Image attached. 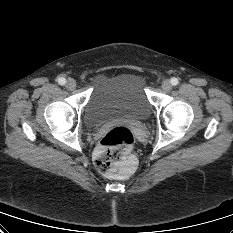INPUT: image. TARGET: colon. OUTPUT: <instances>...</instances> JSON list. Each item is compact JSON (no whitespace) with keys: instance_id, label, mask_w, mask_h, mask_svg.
<instances>
[{"instance_id":"obj_1","label":"colon","mask_w":233,"mask_h":233,"mask_svg":"<svg viewBox=\"0 0 233 233\" xmlns=\"http://www.w3.org/2000/svg\"><path fill=\"white\" fill-rule=\"evenodd\" d=\"M136 138L124 125L109 129L102 137L94 157L96 168L109 176H126L132 167L130 154Z\"/></svg>"}]
</instances>
